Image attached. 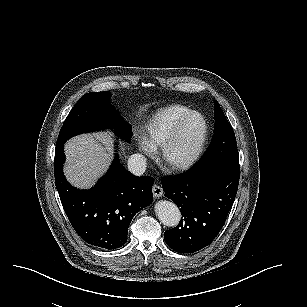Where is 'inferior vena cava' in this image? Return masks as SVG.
<instances>
[{"mask_svg": "<svg viewBox=\"0 0 307 307\" xmlns=\"http://www.w3.org/2000/svg\"><path fill=\"white\" fill-rule=\"evenodd\" d=\"M146 157L140 153L132 154L128 158V170L135 176H142L146 171Z\"/></svg>", "mask_w": 307, "mask_h": 307, "instance_id": "1", "label": "inferior vena cava"}]
</instances>
